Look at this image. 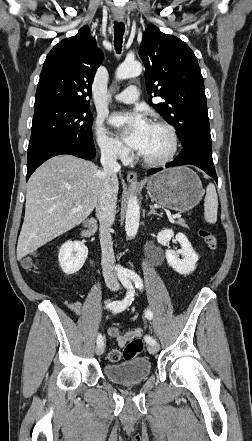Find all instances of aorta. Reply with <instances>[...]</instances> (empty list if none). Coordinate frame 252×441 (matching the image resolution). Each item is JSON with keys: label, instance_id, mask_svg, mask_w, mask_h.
<instances>
[{"label": "aorta", "instance_id": "obj_1", "mask_svg": "<svg viewBox=\"0 0 252 441\" xmlns=\"http://www.w3.org/2000/svg\"><path fill=\"white\" fill-rule=\"evenodd\" d=\"M142 72V65L138 61H125L116 70V79L124 80L139 76ZM140 221V207L136 196H130L127 202L125 231L128 237H134L137 234ZM118 276L125 277L128 270L121 265L116 266Z\"/></svg>", "mask_w": 252, "mask_h": 441}]
</instances>
